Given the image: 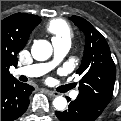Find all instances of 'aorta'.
<instances>
[{"instance_id": "aorta-1", "label": "aorta", "mask_w": 121, "mask_h": 121, "mask_svg": "<svg viewBox=\"0 0 121 121\" xmlns=\"http://www.w3.org/2000/svg\"><path fill=\"white\" fill-rule=\"evenodd\" d=\"M52 45L46 40H37L31 48V54L37 61H45L52 55ZM53 106L58 111H63L67 106V100L58 96L53 100Z\"/></svg>"}]
</instances>
